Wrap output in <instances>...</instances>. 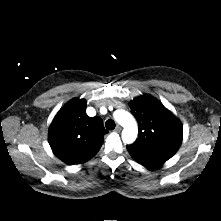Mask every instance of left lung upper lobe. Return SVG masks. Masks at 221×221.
Instances as JSON below:
<instances>
[{
  "label": "left lung upper lobe",
  "instance_id": "obj_1",
  "mask_svg": "<svg viewBox=\"0 0 221 221\" xmlns=\"http://www.w3.org/2000/svg\"><path fill=\"white\" fill-rule=\"evenodd\" d=\"M130 108L139 123L138 138L127 146L132 158L140 164L170 159L182 142L180 121L150 95L135 98Z\"/></svg>",
  "mask_w": 221,
  "mask_h": 221
}]
</instances>
